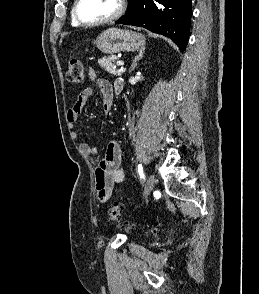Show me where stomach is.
Segmentation results:
<instances>
[{
  "mask_svg": "<svg viewBox=\"0 0 259 294\" xmlns=\"http://www.w3.org/2000/svg\"><path fill=\"white\" fill-rule=\"evenodd\" d=\"M94 44L103 53L115 54L120 52H134L145 44L143 35L118 28H109L103 31Z\"/></svg>",
  "mask_w": 259,
  "mask_h": 294,
  "instance_id": "1",
  "label": "stomach"
}]
</instances>
